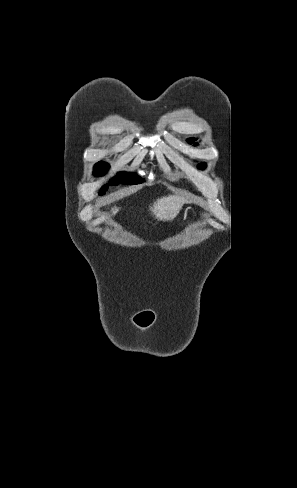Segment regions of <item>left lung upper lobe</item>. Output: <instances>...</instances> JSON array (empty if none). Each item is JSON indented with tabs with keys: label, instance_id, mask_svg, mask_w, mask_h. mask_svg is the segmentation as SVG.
Returning a JSON list of instances; mask_svg holds the SVG:
<instances>
[{
	"label": "left lung upper lobe",
	"instance_id": "5c2ea615",
	"mask_svg": "<svg viewBox=\"0 0 297 488\" xmlns=\"http://www.w3.org/2000/svg\"><path fill=\"white\" fill-rule=\"evenodd\" d=\"M189 143H193L195 141L194 138H190L187 140ZM206 167V164L205 163H202L198 166V168H205Z\"/></svg>",
	"mask_w": 297,
	"mask_h": 488
}]
</instances>
